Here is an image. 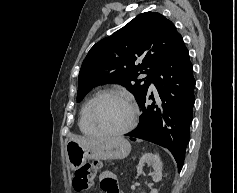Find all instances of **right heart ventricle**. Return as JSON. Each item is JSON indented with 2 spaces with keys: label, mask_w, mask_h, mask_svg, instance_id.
I'll return each instance as SVG.
<instances>
[{
  "label": "right heart ventricle",
  "mask_w": 237,
  "mask_h": 193,
  "mask_svg": "<svg viewBox=\"0 0 237 193\" xmlns=\"http://www.w3.org/2000/svg\"><path fill=\"white\" fill-rule=\"evenodd\" d=\"M95 96L89 98L82 106L79 116V128L81 132L87 136H99V134L91 127L88 121V109Z\"/></svg>",
  "instance_id": "e07e8e85"
}]
</instances>
